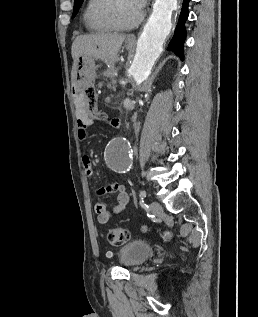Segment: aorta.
Masks as SVG:
<instances>
[{"label":"aorta","mask_w":258,"mask_h":317,"mask_svg":"<svg viewBox=\"0 0 258 317\" xmlns=\"http://www.w3.org/2000/svg\"><path fill=\"white\" fill-rule=\"evenodd\" d=\"M177 8V0H155L153 11L141 36L137 41L136 53L130 67L137 85L142 84L150 75L151 69L163 50V43L172 28V12ZM105 161L110 169L126 173L132 165L128 140L124 137L113 138L107 145Z\"/></svg>","instance_id":"obj_1"}]
</instances>
